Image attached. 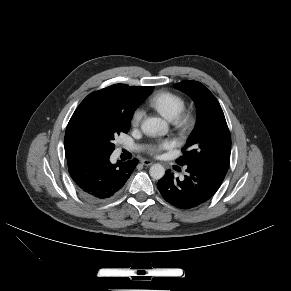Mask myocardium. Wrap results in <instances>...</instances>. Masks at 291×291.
Segmentation results:
<instances>
[{"label":"myocardium","instance_id":"myocardium-1","mask_svg":"<svg viewBox=\"0 0 291 291\" xmlns=\"http://www.w3.org/2000/svg\"><path fill=\"white\" fill-rule=\"evenodd\" d=\"M174 122L182 132H188L194 124V116L191 112L183 110L174 119Z\"/></svg>","mask_w":291,"mask_h":291}]
</instances>
